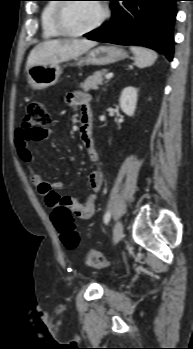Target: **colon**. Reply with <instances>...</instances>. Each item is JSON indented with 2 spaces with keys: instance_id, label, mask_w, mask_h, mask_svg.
I'll use <instances>...</instances> for the list:
<instances>
[{
  "instance_id": "colon-1",
  "label": "colon",
  "mask_w": 193,
  "mask_h": 349,
  "mask_svg": "<svg viewBox=\"0 0 193 349\" xmlns=\"http://www.w3.org/2000/svg\"><path fill=\"white\" fill-rule=\"evenodd\" d=\"M52 114L42 101H34L29 104L23 119V130L35 140L44 138L48 127L52 124ZM52 221L57 228L62 243L67 249H74L79 242L78 233L75 230L74 216L67 203H59L53 208ZM86 263L95 268H104L108 265L105 257L94 251L86 253Z\"/></svg>"
}]
</instances>
